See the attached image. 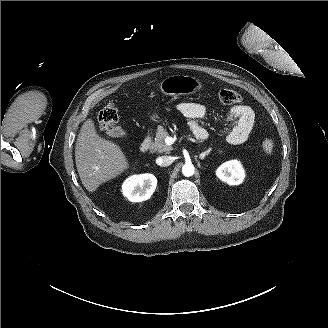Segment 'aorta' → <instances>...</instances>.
<instances>
[{
    "instance_id": "1",
    "label": "aorta",
    "mask_w": 328,
    "mask_h": 328,
    "mask_svg": "<svg viewBox=\"0 0 328 328\" xmlns=\"http://www.w3.org/2000/svg\"><path fill=\"white\" fill-rule=\"evenodd\" d=\"M195 168L191 163H186L182 167V173L186 177H190L194 174Z\"/></svg>"
}]
</instances>
